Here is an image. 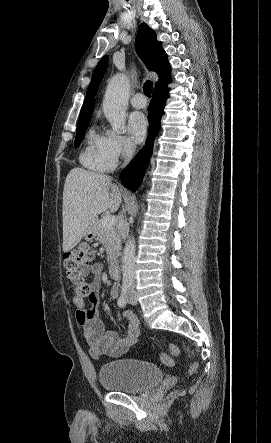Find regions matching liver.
Wrapping results in <instances>:
<instances>
[{
    "instance_id": "obj_1",
    "label": "liver",
    "mask_w": 271,
    "mask_h": 443,
    "mask_svg": "<svg viewBox=\"0 0 271 443\" xmlns=\"http://www.w3.org/2000/svg\"><path fill=\"white\" fill-rule=\"evenodd\" d=\"M121 202L122 194L109 176L73 168L63 190V251L73 249L81 241L98 214L107 210L117 212Z\"/></svg>"
}]
</instances>
